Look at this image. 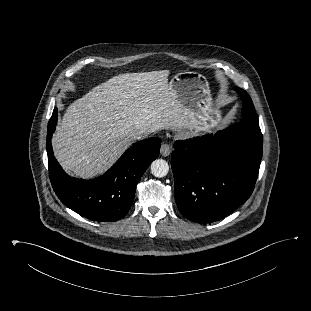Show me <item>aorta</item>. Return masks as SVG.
<instances>
[{
	"mask_svg": "<svg viewBox=\"0 0 311 311\" xmlns=\"http://www.w3.org/2000/svg\"><path fill=\"white\" fill-rule=\"evenodd\" d=\"M169 171L168 163L163 159H156L151 163V173L155 177H164Z\"/></svg>",
	"mask_w": 311,
	"mask_h": 311,
	"instance_id": "1",
	"label": "aorta"
}]
</instances>
